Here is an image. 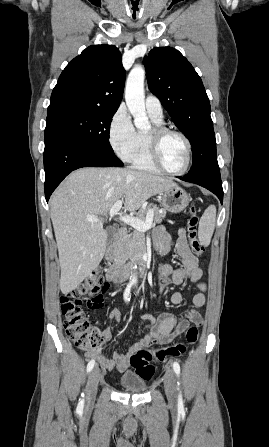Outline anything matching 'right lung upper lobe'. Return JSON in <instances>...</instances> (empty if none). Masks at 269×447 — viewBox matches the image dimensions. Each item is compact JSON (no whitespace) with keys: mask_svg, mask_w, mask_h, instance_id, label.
Wrapping results in <instances>:
<instances>
[{"mask_svg":"<svg viewBox=\"0 0 269 447\" xmlns=\"http://www.w3.org/2000/svg\"><path fill=\"white\" fill-rule=\"evenodd\" d=\"M124 81L119 49L105 44L89 46L61 73L48 113L62 109L117 110Z\"/></svg>","mask_w":269,"mask_h":447,"instance_id":"right-lung-upper-lobe-1","label":"right lung upper lobe"}]
</instances>
